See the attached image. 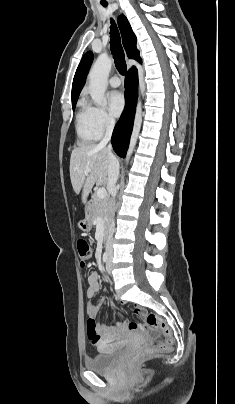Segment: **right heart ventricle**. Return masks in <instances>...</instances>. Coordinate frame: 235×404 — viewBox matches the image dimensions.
<instances>
[{
    "mask_svg": "<svg viewBox=\"0 0 235 404\" xmlns=\"http://www.w3.org/2000/svg\"><path fill=\"white\" fill-rule=\"evenodd\" d=\"M75 130L78 143L81 145L94 142L101 135L95 129L90 107L84 101H80L79 103L76 114Z\"/></svg>",
    "mask_w": 235,
    "mask_h": 404,
    "instance_id": "right-heart-ventricle-1",
    "label": "right heart ventricle"
}]
</instances>
